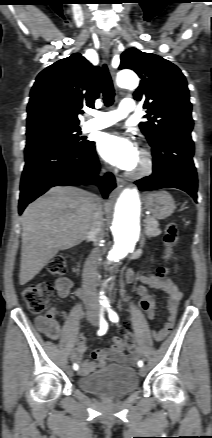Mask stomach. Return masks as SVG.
<instances>
[{"mask_svg":"<svg viewBox=\"0 0 212 438\" xmlns=\"http://www.w3.org/2000/svg\"><path fill=\"white\" fill-rule=\"evenodd\" d=\"M144 203L152 215L158 219L169 217L175 209L174 200L166 191L148 193L144 197Z\"/></svg>","mask_w":212,"mask_h":438,"instance_id":"0dacf381","label":"stomach"}]
</instances>
